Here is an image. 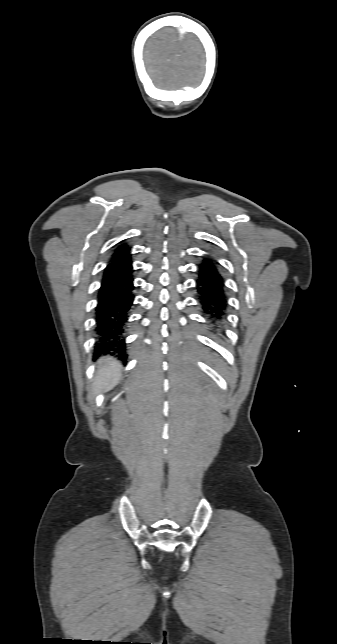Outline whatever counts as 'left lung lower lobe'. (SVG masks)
I'll list each match as a JSON object with an SVG mask.
<instances>
[{"label": "left lung lower lobe", "mask_w": 337, "mask_h": 644, "mask_svg": "<svg viewBox=\"0 0 337 644\" xmlns=\"http://www.w3.org/2000/svg\"><path fill=\"white\" fill-rule=\"evenodd\" d=\"M197 274L198 302L206 319L214 329H218L226 319L228 308L225 284L219 263L210 256H204L198 265Z\"/></svg>", "instance_id": "0a47b994"}]
</instances>
